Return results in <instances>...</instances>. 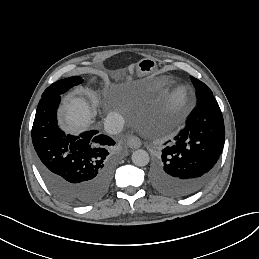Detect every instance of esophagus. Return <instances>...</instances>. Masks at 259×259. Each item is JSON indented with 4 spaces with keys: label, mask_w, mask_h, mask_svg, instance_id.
I'll return each instance as SVG.
<instances>
[{
    "label": "esophagus",
    "mask_w": 259,
    "mask_h": 259,
    "mask_svg": "<svg viewBox=\"0 0 259 259\" xmlns=\"http://www.w3.org/2000/svg\"><path fill=\"white\" fill-rule=\"evenodd\" d=\"M127 144L130 148L137 149L141 147L142 142L137 136L130 135L127 139Z\"/></svg>",
    "instance_id": "1"
}]
</instances>
